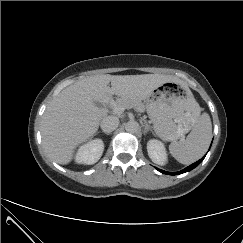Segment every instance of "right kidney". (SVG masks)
I'll return each mask as SVG.
<instances>
[{"label":"right kidney","mask_w":243,"mask_h":243,"mask_svg":"<svg viewBox=\"0 0 243 243\" xmlns=\"http://www.w3.org/2000/svg\"><path fill=\"white\" fill-rule=\"evenodd\" d=\"M103 150L104 143L101 139L91 140L79 147L75 161L78 164L92 165L101 158Z\"/></svg>","instance_id":"right-kidney-1"}]
</instances>
